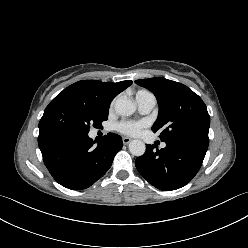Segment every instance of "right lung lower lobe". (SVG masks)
I'll return each mask as SVG.
<instances>
[{
  "label": "right lung lower lobe",
  "instance_id": "right-lung-lower-lobe-1",
  "mask_svg": "<svg viewBox=\"0 0 248 248\" xmlns=\"http://www.w3.org/2000/svg\"><path fill=\"white\" fill-rule=\"evenodd\" d=\"M88 134L66 131L39 132L38 145L53 178L71 190L85 189L111 167L123 146L122 138L109 133L97 146Z\"/></svg>",
  "mask_w": 248,
  "mask_h": 248
}]
</instances>
